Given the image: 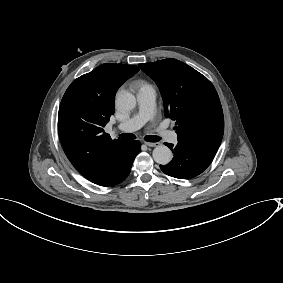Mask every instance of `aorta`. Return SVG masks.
<instances>
[{"label":"aorta","instance_id":"obj_1","mask_svg":"<svg viewBox=\"0 0 283 283\" xmlns=\"http://www.w3.org/2000/svg\"><path fill=\"white\" fill-rule=\"evenodd\" d=\"M116 102L124 110H132L136 106L135 96L127 91L119 93ZM152 156L156 163L166 165L172 159V152L167 146L160 145L154 148Z\"/></svg>","mask_w":283,"mask_h":283}]
</instances>
